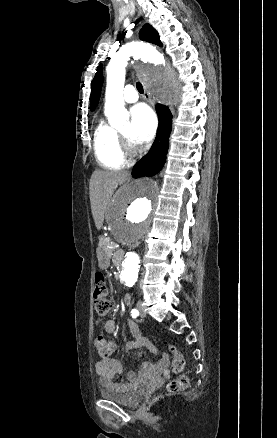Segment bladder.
<instances>
[{
  "instance_id": "bladder-1",
  "label": "bladder",
  "mask_w": 277,
  "mask_h": 438,
  "mask_svg": "<svg viewBox=\"0 0 277 438\" xmlns=\"http://www.w3.org/2000/svg\"><path fill=\"white\" fill-rule=\"evenodd\" d=\"M98 394L104 401H110L117 405L134 407L139 404L143 395L142 388L130 389L127 392H119L109 388H101Z\"/></svg>"
}]
</instances>
